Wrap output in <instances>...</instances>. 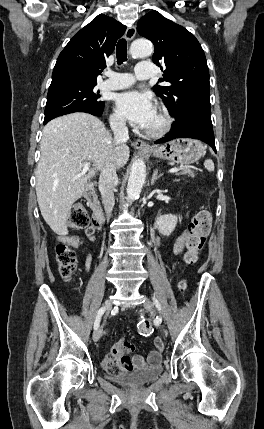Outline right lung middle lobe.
Instances as JSON below:
<instances>
[{
  "label": "right lung middle lobe",
  "mask_w": 264,
  "mask_h": 429,
  "mask_svg": "<svg viewBox=\"0 0 264 429\" xmlns=\"http://www.w3.org/2000/svg\"><path fill=\"white\" fill-rule=\"evenodd\" d=\"M95 85L69 84L49 89L44 122L73 112L101 115L104 102L99 100V92L94 91Z\"/></svg>",
  "instance_id": "1"
}]
</instances>
